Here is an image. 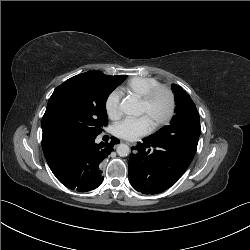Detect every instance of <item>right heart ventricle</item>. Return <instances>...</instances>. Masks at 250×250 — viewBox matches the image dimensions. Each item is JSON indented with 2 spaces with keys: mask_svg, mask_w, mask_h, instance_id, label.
<instances>
[{
  "mask_svg": "<svg viewBox=\"0 0 250 250\" xmlns=\"http://www.w3.org/2000/svg\"><path fill=\"white\" fill-rule=\"evenodd\" d=\"M160 82L154 77L137 76L130 78L123 86L122 91L142 97L152 88L159 86Z\"/></svg>",
  "mask_w": 250,
  "mask_h": 250,
  "instance_id": "right-heart-ventricle-1",
  "label": "right heart ventricle"
}]
</instances>
